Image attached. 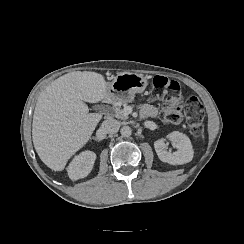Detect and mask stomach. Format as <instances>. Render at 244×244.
Segmentation results:
<instances>
[{
	"label": "stomach",
	"instance_id": "obj_1",
	"mask_svg": "<svg viewBox=\"0 0 244 244\" xmlns=\"http://www.w3.org/2000/svg\"><path fill=\"white\" fill-rule=\"evenodd\" d=\"M148 85L147 77L133 72H120L106 84V100L131 102L136 93Z\"/></svg>",
	"mask_w": 244,
	"mask_h": 244
}]
</instances>
